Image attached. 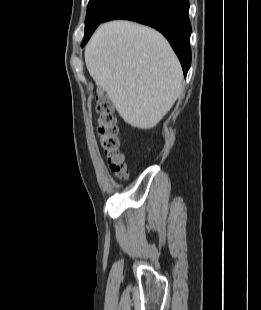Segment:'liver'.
Masks as SVG:
<instances>
[{"label":"liver","mask_w":261,"mask_h":310,"mask_svg":"<svg viewBox=\"0 0 261 310\" xmlns=\"http://www.w3.org/2000/svg\"><path fill=\"white\" fill-rule=\"evenodd\" d=\"M91 77L129 125L151 129L182 91L180 62L158 31L130 21L102 24L85 49Z\"/></svg>","instance_id":"obj_1"}]
</instances>
